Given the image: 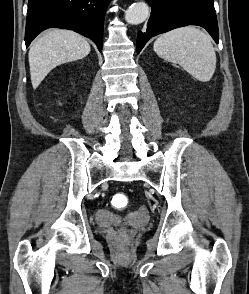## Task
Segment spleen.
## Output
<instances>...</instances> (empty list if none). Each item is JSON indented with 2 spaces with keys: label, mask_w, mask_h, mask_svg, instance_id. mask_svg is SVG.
Masks as SVG:
<instances>
[{
  "label": "spleen",
  "mask_w": 249,
  "mask_h": 294,
  "mask_svg": "<svg viewBox=\"0 0 249 294\" xmlns=\"http://www.w3.org/2000/svg\"><path fill=\"white\" fill-rule=\"evenodd\" d=\"M153 49L159 57L181 65L201 82L209 81L215 72L216 54L211 38L195 26L180 27L160 35Z\"/></svg>",
  "instance_id": "spleen-1"
}]
</instances>
